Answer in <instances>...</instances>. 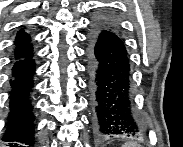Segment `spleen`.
Instances as JSON below:
<instances>
[{"mask_svg": "<svg viewBox=\"0 0 183 147\" xmlns=\"http://www.w3.org/2000/svg\"><path fill=\"white\" fill-rule=\"evenodd\" d=\"M122 147H140V145H137L134 142H127Z\"/></svg>", "mask_w": 183, "mask_h": 147, "instance_id": "3e777b00", "label": "spleen"}]
</instances>
